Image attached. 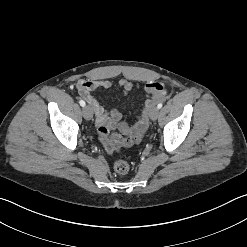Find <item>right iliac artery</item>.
<instances>
[{
    "mask_svg": "<svg viewBox=\"0 0 247 247\" xmlns=\"http://www.w3.org/2000/svg\"><path fill=\"white\" fill-rule=\"evenodd\" d=\"M79 103H80V105H81L82 107H84V106L86 105L85 101H83V100H80Z\"/></svg>",
    "mask_w": 247,
    "mask_h": 247,
    "instance_id": "right-iliac-artery-1",
    "label": "right iliac artery"
}]
</instances>
